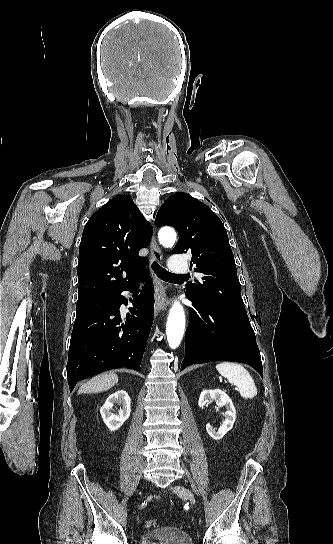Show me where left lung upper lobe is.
Here are the masks:
<instances>
[{"mask_svg": "<svg viewBox=\"0 0 333 544\" xmlns=\"http://www.w3.org/2000/svg\"><path fill=\"white\" fill-rule=\"evenodd\" d=\"M155 225L173 226L179 232L173 252H191V265L204 274L203 281L188 282L184 291L203 305L250 324L233 252L219 217L206 204L180 192L163 203Z\"/></svg>", "mask_w": 333, "mask_h": 544, "instance_id": "5c2ea615", "label": "left lung upper lobe"}]
</instances>
